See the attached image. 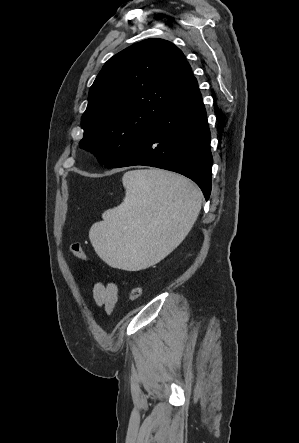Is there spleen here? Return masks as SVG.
<instances>
[{
  "label": "spleen",
  "instance_id": "spleen-1",
  "mask_svg": "<svg viewBox=\"0 0 299 443\" xmlns=\"http://www.w3.org/2000/svg\"><path fill=\"white\" fill-rule=\"evenodd\" d=\"M122 183L123 202L102 214L89 238L109 266L138 271L184 240L198 217L202 193L187 178L158 169L128 171Z\"/></svg>",
  "mask_w": 299,
  "mask_h": 443
}]
</instances>
